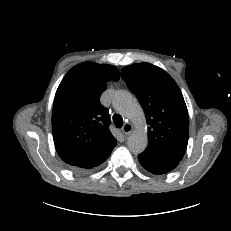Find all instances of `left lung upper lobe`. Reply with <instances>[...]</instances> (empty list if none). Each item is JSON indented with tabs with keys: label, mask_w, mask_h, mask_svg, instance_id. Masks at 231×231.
Listing matches in <instances>:
<instances>
[{
	"label": "left lung upper lobe",
	"mask_w": 231,
	"mask_h": 231,
	"mask_svg": "<svg viewBox=\"0 0 231 231\" xmlns=\"http://www.w3.org/2000/svg\"><path fill=\"white\" fill-rule=\"evenodd\" d=\"M121 76L139 99L149 125L144 153L180 161L188 144L189 117L176 82L149 63L125 66Z\"/></svg>",
	"instance_id": "5c2ea615"
}]
</instances>
